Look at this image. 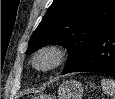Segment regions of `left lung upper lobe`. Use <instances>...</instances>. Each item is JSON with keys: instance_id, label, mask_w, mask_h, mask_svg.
I'll list each match as a JSON object with an SVG mask.
<instances>
[{"instance_id": "1", "label": "left lung upper lobe", "mask_w": 115, "mask_h": 99, "mask_svg": "<svg viewBox=\"0 0 115 99\" xmlns=\"http://www.w3.org/2000/svg\"><path fill=\"white\" fill-rule=\"evenodd\" d=\"M115 23V0H54L28 43L27 54L48 45L68 49L67 73Z\"/></svg>"}]
</instances>
